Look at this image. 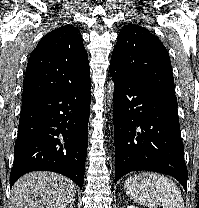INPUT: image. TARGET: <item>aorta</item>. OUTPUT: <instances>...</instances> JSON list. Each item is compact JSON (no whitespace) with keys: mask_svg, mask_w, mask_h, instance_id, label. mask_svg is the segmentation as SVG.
Returning <instances> with one entry per match:
<instances>
[{"mask_svg":"<svg viewBox=\"0 0 199 208\" xmlns=\"http://www.w3.org/2000/svg\"><path fill=\"white\" fill-rule=\"evenodd\" d=\"M109 93H110V98H112V93H113V83L111 82L110 84H109Z\"/></svg>","mask_w":199,"mask_h":208,"instance_id":"aorta-1","label":"aorta"}]
</instances>
